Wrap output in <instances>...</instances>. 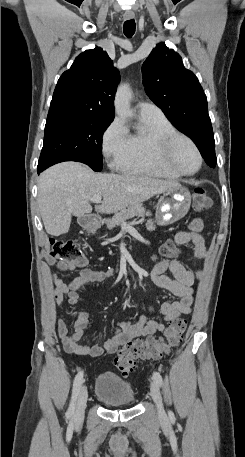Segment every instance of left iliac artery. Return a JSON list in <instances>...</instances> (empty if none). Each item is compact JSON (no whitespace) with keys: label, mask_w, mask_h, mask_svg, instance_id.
<instances>
[{"label":"left iliac artery","mask_w":245,"mask_h":457,"mask_svg":"<svg viewBox=\"0 0 245 457\" xmlns=\"http://www.w3.org/2000/svg\"><path fill=\"white\" fill-rule=\"evenodd\" d=\"M153 378L160 386L163 385V379H162V376H161V374L159 372H154L153 373ZM169 414L174 417V414L171 411L169 412Z\"/></svg>","instance_id":"1"}]
</instances>
